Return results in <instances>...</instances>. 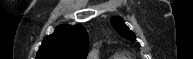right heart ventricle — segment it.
<instances>
[{
	"instance_id": "right-heart-ventricle-1",
	"label": "right heart ventricle",
	"mask_w": 193,
	"mask_h": 59,
	"mask_svg": "<svg viewBox=\"0 0 193 59\" xmlns=\"http://www.w3.org/2000/svg\"><path fill=\"white\" fill-rule=\"evenodd\" d=\"M110 59H132L126 54H116L115 56L111 57Z\"/></svg>"
}]
</instances>
